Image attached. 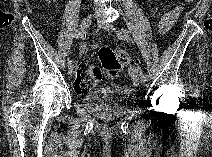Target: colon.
<instances>
[{
	"instance_id": "obj_1",
	"label": "colon",
	"mask_w": 212,
	"mask_h": 157,
	"mask_svg": "<svg viewBox=\"0 0 212 157\" xmlns=\"http://www.w3.org/2000/svg\"><path fill=\"white\" fill-rule=\"evenodd\" d=\"M99 59L101 67L95 65H88L84 68L79 67L75 81V91L77 93L89 91L101 81L103 75L110 79L118 78L126 67L133 65V60L126 51L108 46L100 48ZM132 71L136 75L139 73L137 68H133Z\"/></svg>"
}]
</instances>
